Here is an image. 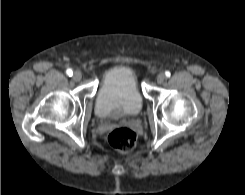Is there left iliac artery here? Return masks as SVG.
<instances>
[{
    "label": "left iliac artery",
    "instance_id": "obj_1",
    "mask_svg": "<svg viewBox=\"0 0 245 195\" xmlns=\"http://www.w3.org/2000/svg\"><path fill=\"white\" fill-rule=\"evenodd\" d=\"M166 77H170L171 73L169 71L165 72Z\"/></svg>",
    "mask_w": 245,
    "mask_h": 195
}]
</instances>
